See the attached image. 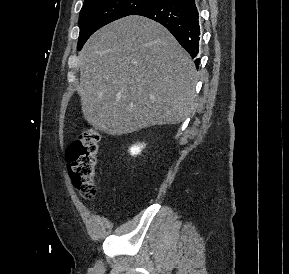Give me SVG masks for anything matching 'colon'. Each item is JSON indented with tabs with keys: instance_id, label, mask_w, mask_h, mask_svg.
I'll return each instance as SVG.
<instances>
[{
	"instance_id": "colon-1",
	"label": "colon",
	"mask_w": 289,
	"mask_h": 274,
	"mask_svg": "<svg viewBox=\"0 0 289 274\" xmlns=\"http://www.w3.org/2000/svg\"><path fill=\"white\" fill-rule=\"evenodd\" d=\"M100 135L94 128L83 130L67 148L68 168L74 186L85 199L96 193L95 171Z\"/></svg>"
}]
</instances>
